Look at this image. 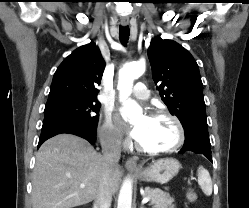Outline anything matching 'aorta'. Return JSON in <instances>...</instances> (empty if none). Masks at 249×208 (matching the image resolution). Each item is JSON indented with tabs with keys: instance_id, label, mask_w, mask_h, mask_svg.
Here are the masks:
<instances>
[{
	"instance_id": "1",
	"label": "aorta",
	"mask_w": 249,
	"mask_h": 208,
	"mask_svg": "<svg viewBox=\"0 0 249 208\" xmlns=\"http://www.w3.org/2000/svg\"><path fill=\"white\" fill-rule=\"evenodd\" d=\"M145 72L144 62L128 63L119 71L118 90L120 100L124 103L122 117L125 120H136L140 117L142 109L133 100L129 99L132 91L133 81ZM132 205V181L126 178L123 182L119 196L117 208H131Z\"/></svg>"
}]
</instances>
